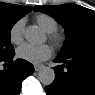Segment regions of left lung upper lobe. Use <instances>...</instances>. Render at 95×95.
I'll return each mask as SVG.
<instances>
[{"label":"left lung upper lobe","mask_w":95,"mask_h":95,"mask_svg":"<svg viewBox=\"0 0 95 95\" xmlns=\"http://www.w3.org/2000/svg\"><path fill=\"white\" fill-rule=\"evenodd\" d=\"M61 22L67 39L60 56L69 57L86 51L95 52V12L76 4L35 6Z\"/></svg>","instance_id":"left-lung-upper-lobe-1"}]
</instances>
